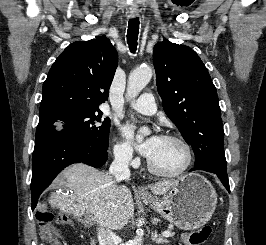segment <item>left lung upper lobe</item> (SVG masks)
I'll return each mask as SVG.
<instances>
[{
	"label": "left lung upper lobe",
	"mask_w": 266,
	"mask_h": 245,
	"mask_svg": "<svg viewBox=\"0 0 266 245\" xmlns=\"http://www.w3.org/2000/svg\"><path fill=\"white\" fill-rule=\"evenodd\" d=\"M153 63L165 113L191 144L195 167L227 173L217 91L199 56L163 41L155 45Z\"/></svg>",
	"instance_id": "1"
}]
</instances>
